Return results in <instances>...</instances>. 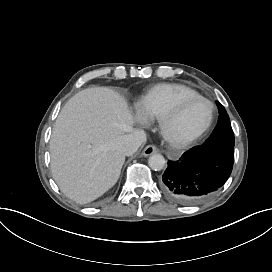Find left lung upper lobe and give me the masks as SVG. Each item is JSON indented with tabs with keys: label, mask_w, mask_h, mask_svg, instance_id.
<instances>
[{
	"label": "left lung upper lobe",
	"mask_w": 272,
	"mask_h": 272,
	"mask_svg": "<svg viewBox=\"0 0 272 272\" xmlns=\"http://www.w3.org/2000/svg\"><path fill=\"white\" fill-rule=\"evenodd\" d=\"M219 110V122L210 137L203 145H216L234 148V133L230 125L229 116L225 108L217 102Z\"/></svg>",
	"instance_id": "1"
}]
</instances>
